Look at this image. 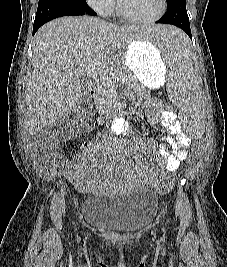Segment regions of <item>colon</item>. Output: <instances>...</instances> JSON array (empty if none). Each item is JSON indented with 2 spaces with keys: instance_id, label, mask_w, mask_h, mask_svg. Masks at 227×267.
Instances as JSON below:
<instances>
[{
  "instance_id": "1",
  "label": "colon",
  "mask_w": 227,
  "mask_h": 267,
  "mask_svg": "<svg viewBox=\"0 0 227 267\" xmlns=\"http://www.w3.org/2000/svg\"><path fill=\"white\" fill-rule=\"evenodd\" d=\"M166 113H176V108L174 104H169L166 101L164 105ZM88 111V105L86 103L82 104L77 113V121H82L84 119V114ZM70 134V125L65 122H55L53 123L47 131L37 138V142L44 146L48 150H53L62 141H64ZM189 160H191V155H183V159L178 161V166L176 169H163L162 176L158 181L157 187H155V192L167 193L172 189L174 178H179L184 171H189Z\"/></svg>"
}]
</instances>
